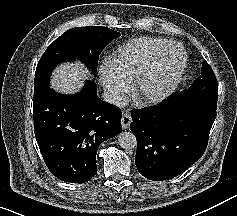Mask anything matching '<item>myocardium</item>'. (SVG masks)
I'll return each mask as SVG.
<instances>
[{
  "label": "myocardium",
  "instance_id": "f54148a6",
  "mask_svg": "<svg viewBox=\"0 0 237 216\" xmlns=\"http://www.w3.org/2000/svg\"><path fill=\"white\" fill-rule=\"evenodd\" d=\"M179 50V52L182 55V64L181 68L179 70V73L177 74L175 80L171 82L169 85H167L165 88H163L161 91H159L157 94L154 95H143L141 93L142 85L145 77L151 73L153 70L155 64L157 63L159 58L169 56L170 54H173ZM187 64V52L181 45H174V46H165L163 45L158 49V51L153 55V57L150 59V61L147 63L145 67H142V71L139 73V75L136 78V81L134 83L133 89H132V99L138 100V106L140 108H145L148 105L151 104H157L164 99L171 96L180 84L182 83L183 76L185 73Z\"/></svg>",
  "mask_w": 237,
  "mask_h": 216
}]
</instances>
